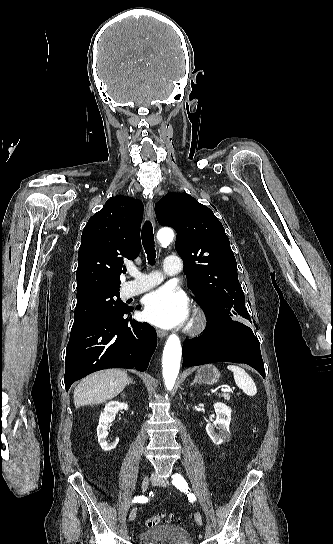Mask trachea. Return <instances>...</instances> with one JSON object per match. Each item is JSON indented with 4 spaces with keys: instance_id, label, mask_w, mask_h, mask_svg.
I'll use <instances>...</instances> for the list:
<instances>
[{
    "instance_id": "1",
    "label": "trachea",
    "mask_w": 333,
    "mask_h": 544,
    "mask_svg": "<svg viewBox=\"0 0 333 544\" xmlns=\"http://www.w3.org/2000/svg\"><path fill=\"white\" fill-rule=\"evenodd\" d=\"M142 243L147 254V260L149 264H154L156 251L154 244L153 227L151 222L146 221L142 228Z\"/></svg>"
}]
</instances>
